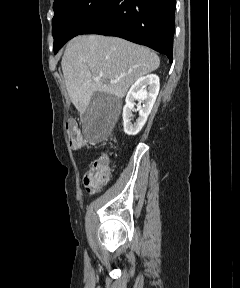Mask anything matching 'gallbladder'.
<instances>
[{
    "instance_id": "gallbladder-1",
    "label": "gallbladder",
    "mask_w": 240,
    "mask_h": 288,
    "mask_svg": "<svg viewBox=\"0 0 240 288\" xmlns=\"http://www.w3.org/2000/svg\"><path fill=\"white\" fill-rule=\"evenodd\" d=\"M117 108V101L103 93L93 94L91 103L87 111L83 114L84 124L87 125L96 119L107 120L111 118Z\"/></svg>"
}]
</instances>
